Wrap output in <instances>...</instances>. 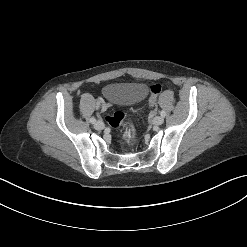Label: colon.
Returning <instances> with one entry per match:
<instances>
[{
	"label": "colon",
	"instance_id": "obj_1",
	"mask_svg": "<svg viewBox=\"0 0 247 247\" xmlns=\"http://www.w3.org/2000/svg\"><path fill=\"white\" fill-rule=\"evenodd\" d=\"M150 90V100L149 105L153 107L156 103L157 97L161 92V86L159 84H152L149 87ZM108 124L114 128L124 127L130 135L134 136L135 131L131 124L125 120V115L123 112H115L112 115L106 117Z\"/></svg>",
	"mask_w": 247,
	"mask_h": 247
}]
</instances>
